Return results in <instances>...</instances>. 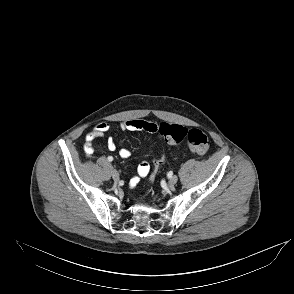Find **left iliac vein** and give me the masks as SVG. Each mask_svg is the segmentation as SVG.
Here are the masks:
<instances>
[{"instance_id": "obj_1", "label": "left iliac vein", "mask_w": 294, "mask_h": 294, "mask_svg": "<svg viewBox=\"0 0 294 294\" xmlns=\"http://www.w3.org/2000/svg\"><path fill=\"white\" fill-rule=\"evenodd\" d=\"M177 181H178V177L176 175H174V176H172L171 179L168 180V184L172 186V185L176 184Z\"/></svg>"}]
</instances>
